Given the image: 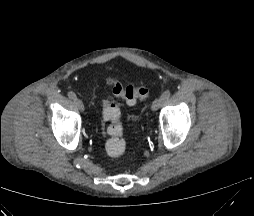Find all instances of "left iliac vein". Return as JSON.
Segmentation results:
<instances>
[{
	"label": "left iliac vein",
	"instance_id": "4c4485c4",
	"mask_svg": "<svg viewBox=\"0 0 254 216\" xmlns=\"http://www.w3.org/2000/svg\"><path fill=\"white\" fill-rule=\"evenodd\" d=\"M164 102V100L160 97L158 99H156L151 106V110L152 111H156L160 108V106L162 105V103Z\"/></svg>",
	"mask_w": 254,
	"mask_h": 216
}]
</instances>
